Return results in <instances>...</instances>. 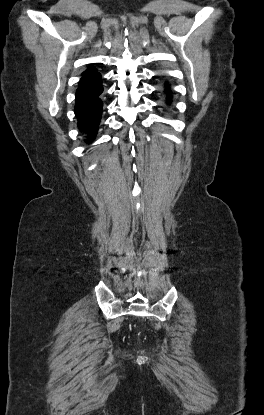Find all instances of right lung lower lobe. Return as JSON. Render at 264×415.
I'll return each mask as SVG.
<instances>
[{
  "label": "right lung lower lobe",
  "mask_w": 264,
  "mask_h": 415,
  "mask_svg": "<svg viewBox=\"0 0 264 415\" xmlns=\"http://www.w3.org/2000/svg\"><path fill=\"white\" fill-rule=\"evenodd\" d=\"M102 91L101 75L97 72L83 75L76 91L74 111L78 127L89 135V141L95 137L100 123L103 103L99 96Z\"/></svg>",
  "instance_id": "right-lung-lower-lobe-1"
}]
</instances>
